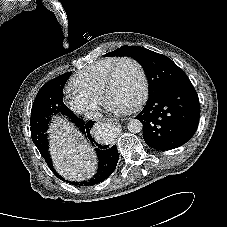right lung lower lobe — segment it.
Instances as JSON below:
<instances>
[{
  "label": "right lung lower lobe",
  "mask_w": 227,
  "mask_h": 227,
  "mask_svg": "<svg viewBox=\"0 0 227 227\" xmlns=\"http://www.w3.org/2000/svg\"><path fill=\"white\" fill-rule=\"evenodd\" d=\"M77 125V127L80 129V131L89 139L91 144L95 147V150L98 155L99 159V167L97 170V173L93 178H91L89 181H83V182H71V181H66L69 182L72 185H78V186H88V185H94L97 183H100L101 181L105 180L107 177H109L113 171L116 168L118 159H119V154L116 148V145L109 146V145H101L95 142V140L92 138L90 134V130L93 127V124L95 121H88L86 123L82 122L79 118L75 117L74 115L70 117ZM47 165L49 168L52 170V172L62 181H65L63 177H61L53 168L52 166V161L50 158L49 153L47 155L43 156Z\"/></svg>",
  "instance_id": "1"
}]
</instances>
